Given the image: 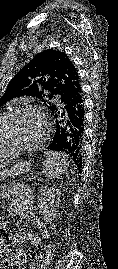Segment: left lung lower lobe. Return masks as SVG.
Listing matches in <instances>:
<instances>
[{
    "instance_id": "obj_1",
    "label": "left lung lower lobe",
    "mask_w": 118,
    "mask_h": 269,
    "mask_svg": "<svg viewBox=\"0 0 118 269\" xmlns=\"http://www.w3.org/2000/svg\"><path fill=\"white\" fill-rule=\"evenodd\" d=\"M84 99L81 89L60 99L52 109L55 121L53 140L48 150L70 156L81 168L84 141Z\"/></svg>"
}]
</instances>
